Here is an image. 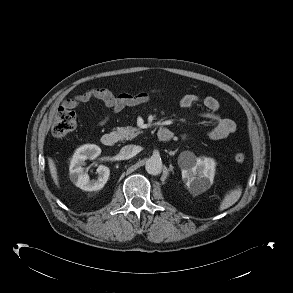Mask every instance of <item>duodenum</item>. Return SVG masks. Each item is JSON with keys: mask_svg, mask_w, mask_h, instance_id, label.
<instances>
[{"mask_svg": "<svg viewBox=\"0 0 293 293\" xmlns=\"http://www.w3.org/2000/svg\"><path fill=\"white\" fill-rule=\"evenodd\" d=\"M171 137H172L171 132L166 128H162L158 132V139L160 141L167 142L171 139ZM116 142H117L116 134L112 132L105 133L101 137V143L105 147H113L116 144Z\"/></svg>", "mask_w": 293, "mask_h": 293, "instance_id": "1", "label": "duodenum"}]
</instances>
